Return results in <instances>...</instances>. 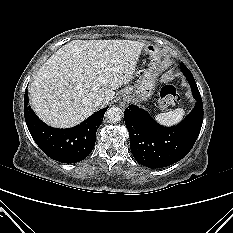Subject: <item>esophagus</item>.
<instances>
[{
    "mask_svg": "<svg viewBox=\"0 0 233 233\" xmlns=\"http://www.w3.org/2000/svg\"><path fill=\"white\" fill-rule=\"evenodd\" d=\"M121 107H124L125 106V102H120L119 104Z\"/></svg>",
    "mask_w": 233,
    "mask_h": 233,
    "instance_id": "esophagus-1",
    "label": "esophagus"
}]
</instances>
